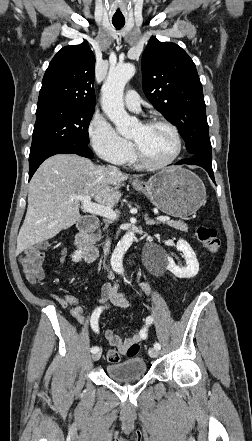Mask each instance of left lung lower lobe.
I'll use <instances>...</instances> for the list:
<instances>
[{"label":"left lung lower lobe","instance_id":"obj_1","mask_svg":"<svg viewBox=\"0 0 252 441\" xmlns=\"http://www.w3.org/2000/svg\"><path fill=\"white\" fill-rule=\"evenodd\" d=\"M182 164L198 165L203 167L208 172L212 181L215 183L214 174L212 170V156L195 154L191 158L178 161L175 165H182Z\"/></svg>","mask_w":252,"mask_h":441}]
</instances>
